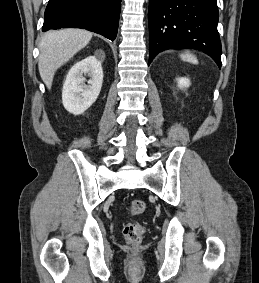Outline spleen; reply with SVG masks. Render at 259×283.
Here are the masks:
<instances>
[{"instance_id": "obj_1", "label": "spleen", "mask_w": 259, "mask_h": 283, "mask_svg": "<svg viewBox=\"0 0 259 283\" xmlns=\"http://www.w3.org/2000/svg\"><path fill=\"white\" fill-rule=\"evenodd\" d=\"M180 58L183 61H186V62H189V63H192V64H197L198 63L196 57L194 55H192V54H189V53L181 54Z\"/></svg>"}]
</instances>
